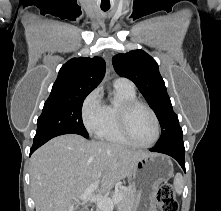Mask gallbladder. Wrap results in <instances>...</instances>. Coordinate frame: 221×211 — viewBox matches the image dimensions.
<instances>
[{
  "label": "gallbladder",
  "instance_id": "1",
  "mask_svg": "<svg viewBox=\"0 0 221 211\" xmlns=\"http://www.w3.org/2000/svg\"><path fill=\"white\" fill-rule=\"evenodd\" d=\"M76 211H86L84 208H79L78 210Z\"/></svg>",
  "mask_w": 221,
  "mask_h": 211
}]
</instances>
